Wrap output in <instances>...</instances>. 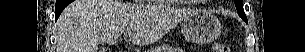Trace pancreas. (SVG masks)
<instances>
[{"instance_id":"cf45deb5","label":"pancreas","mask_w":305,"mask_h":52,"mask_svg":"<svg viewBox=\"0 0 305 52\" xmlns=\"http://www.w3.org/2000/svg\"><path fill=\"white\" fill-rule=\"evenodd\" d=\"M154 52H173V48L169 47V46H163V47L156 48L154 50Z\"/></svg>"}]
</instances>
